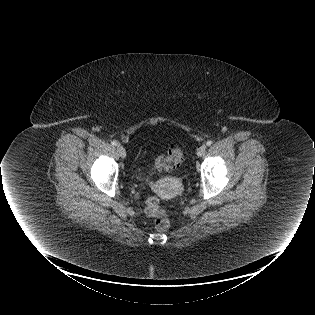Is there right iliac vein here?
I'll list each match as a JSON object with an SVG mask.
<instances>
[{
    "mask_svg": "<svg viewBox=\"0 0 315 315\" xmlns=\"http://www.w3.org/2000/svg\"><path fill=\"white\" fill-rule=\"evenodd\" d=\"M117 150H118V153L119 155L122 157V158H125L126 157V150L123 146L119 145L117 147Z\"/></svg>",
    "mask_w": 315,
    "mask_h": 315,
    "instance_id": "obj_1",
    "label": "right iliac vein"
}]
</instances>
